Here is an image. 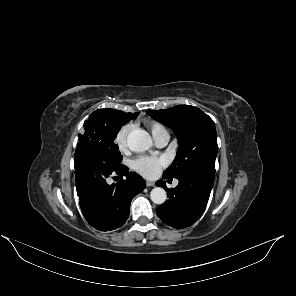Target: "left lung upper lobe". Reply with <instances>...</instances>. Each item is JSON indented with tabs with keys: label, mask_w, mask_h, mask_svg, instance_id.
Segmentation results:
<instances>
[{
	"label": "left lung upper lobe",
	"mask_w": 296,
	"mask_h": 296,
	"mask_svg": "<svg viewBox=\"0 0 296 296\" xmlns=\"http://www.w3.org/2000/svg\"><path fill=\"white\" fill-rule=\"evenodd\" d=\"M153 119L171 128L179 143L173 163L164 177L179 176L198 170L215 172L217 134L213 120L202 110L190 105H177L147 112Z\"/></svg>",
	"instance_id": "5c2ea615"
}]
</instances>
